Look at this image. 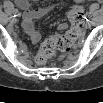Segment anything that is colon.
<instances>
[{"label":"colon","mask_w":103,"mask_h":103,"mask_svg":"<svg viewBox=\"0 0 103 103\" xmlns=\"http://www.w3.org/2000/svg\"><path fill=\"white\" fill-rule=\"evenodd\" d=\"M71 28L64 34L45 40L36 56V62L44 65L56 51H69L78 40L82 23L85 20V12L81 5H74L69 13Z\"/></svg>","instance_id":"1"}]
</instances>
